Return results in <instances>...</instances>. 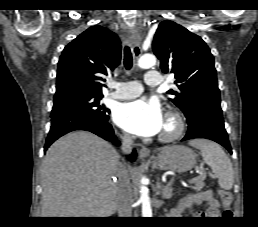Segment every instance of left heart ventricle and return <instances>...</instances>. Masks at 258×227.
<instances>
[{"mask_svg":"<svg viewBox=\"0 0 258 227\" xmlns=\"http://www.w3.org/2000/svg\"><path fill=\"white\" fill-rule=\"evenodd\" d=\"M170 128V125L169 123H167L166 121H164V125H163V128H162V131H166Z\"/></svg>","mask_w":258,"mask_h":227,"instance_id":"1","label":"left heart ventricle"}]
</instances>
